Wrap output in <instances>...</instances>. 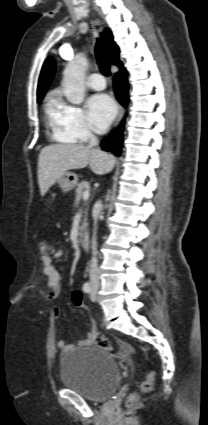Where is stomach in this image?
<instances>
[{
  "label": "stomach",
  "mask_w": 208,
  "mask_h": 425,
  "mask_svg": "<svg viewBox=\"0 0 208 425\" xmlns=\"http://www.w3.org/2000/svg\"><path fill=\"white\" fill-rule=\"evenodd\" d=\"M78 183V176L72 172H66L58 179V184L63 192L71 191Z\"/></svg>",
  "instance_id": "obj_1"
}]
</instances>
